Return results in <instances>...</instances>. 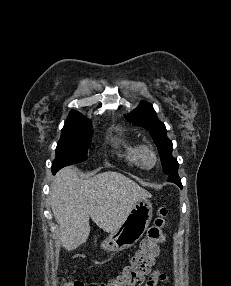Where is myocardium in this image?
Listing matches in <instances>:
<instances>
[{
	"instance_id": "obj_1",
	"label": "myocardium",
	"mask_w": 231,
	"mask_h": 286,
	"mask_svg": "<svg viewBox=\"0 0 231 286\" xmlns=\"http://www.w3.org/2000/svg\"><path fill=\"white\" fill-rule=\"evenodd\" d=\"M158 163V155L150 145H143L141 149V165L146 169L155 167Z\"/></svg>"
}]
</instances>
